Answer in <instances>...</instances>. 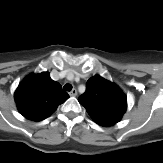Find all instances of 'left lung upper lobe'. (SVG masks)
Wrapping results in <instances>:
<instances>
[{
	"label": "left lung upper lobe",
	"instance_id": "5c2ea615",
	"mask_svg": "<svg viewBox=\"0 0 163 163\" xmlns=\"http://www.w3.org/2000/svg\"><path fill=\"white\" fill-rule=\"evenodd\" d=\"M78 101L93 121L104 127L119 122L127 109V97L122 90L98 75L87 81L86 92Z\"/></svg>",
	"mask_w": 163,
	"mask_h": 163
}]
</instances>
